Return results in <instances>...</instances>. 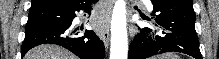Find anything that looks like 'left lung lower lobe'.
<instances>
[{
	"instance_id": "0a47b994",
	"label": "left lung lower lobe",
	"mask_w": 219,
	"mask_h": 59,
	"mask_svg": "<svg viewBox=\"0 0 219 59\" xmlns=\"http://www.w3.org/2000/svg\"><path fill=\"white\" fill-rule=\"evenodd\" d=\"M152 4V18L160 29H141L130 44L128 59H146L165 52L202 59L192 0H152Z\"/></svg>"
}]
</instances>
